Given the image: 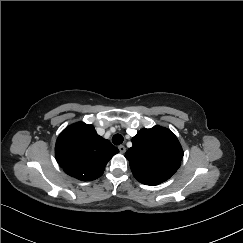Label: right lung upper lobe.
Masks as SVG:
<instances>
[{
  "label": "right lung upper lobe",
  "mask_w": 243,
  "mask_h": 243,
  "mask_svg": "<svg viewBox=\"0 0 243 243\" xmlns=\"http://www.w3.org/2000/svg\"><path fill=\"white\" fill-rule=\"evenodd\" d=\"M119 150L83 122L65 128L56 141L55 156L66 174L82 181L99 178Z\"/></svg>",
  "instance_id": "1"
}]
</instances>
